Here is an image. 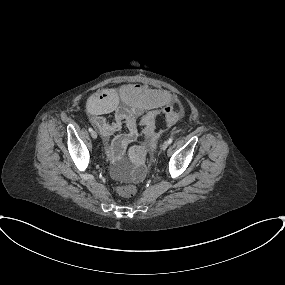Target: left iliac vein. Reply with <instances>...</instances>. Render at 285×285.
Returning a JSON list of instances; mask_svg holds the SVG:
<instances>
[{"label": "left iliac vein", "mask_w": 285, "mask_h": 285, "mask_svg": "<svg viewBox=\"0 0 285 285\" xmlns=\"http://www.w3.org/2000/svg\"><path fill=\"white\" fill-rule=\"evenodd\" d=\"M169 146V142L168 141H165L162 145H161V150L164 151L168 148Z\"/></svg>", "instance_id": "1"}]
</instances>
